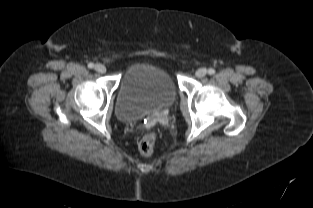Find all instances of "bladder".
I'll return each instance as SVG.
<instances>
[{
    "mask_svg": "<svg viewBox=\"0 0 313 208\" xmlns=\"http://www.w3.org/2000/svg\"><path fill=\"white\" fill-rule=\"evenodd\" d=\"M177 92V84L165 68L150 63L135 64L121 78L116 116L122 121H132L159 112L174 102Z\"/></svg>",
    "mask_w": 313,
    "mask_h": 208,
    "instance_id": "bladder-1",
    "label": "bladder"
}]
</instances>
